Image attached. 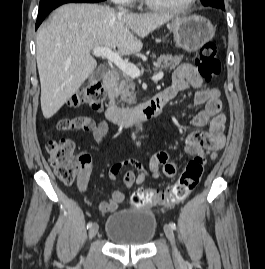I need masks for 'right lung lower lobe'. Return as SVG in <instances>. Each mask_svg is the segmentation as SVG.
<instances>
[{"mask_svg":"<svg viewBox=\"0 0 265 269\" xmlns=\"http://www.w3.org/2000/svg\"><path fill=\"white\" fill-rule=\"evenodd\" d=\"M105 0H40L38 18L35 29L39 27L44 18L55 8L65 3H97Z\"/></svg>","mask_w":265,"mask_h":269,"instance_id":"right-lung-lower-lobe-1","label":"right lung lower lobe"}]
</instances>
